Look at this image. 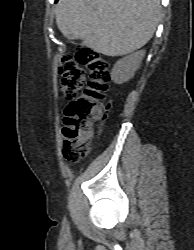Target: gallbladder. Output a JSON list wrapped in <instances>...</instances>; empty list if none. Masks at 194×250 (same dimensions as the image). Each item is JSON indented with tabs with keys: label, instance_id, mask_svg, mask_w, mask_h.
<instances>
[{
	"label": "gallbladder",
	"instance_id": "1",
	"mask_svg": "<svg viewBox=\"0 0 194 250\" xmlns=\"http://www.w3.org/2000/svg\"><path fill=\"white\" fill-rule=\"evenodd\" d=\"M67 38L70 39V40L79 39L77 36H73V35H68Z\"/></svg>",
	"mask_w": 194,
	"mask_h": 250
}]
</instances>
